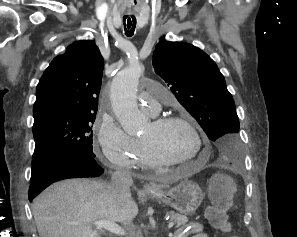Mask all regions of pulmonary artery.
<instances>
[{"label":"pulmonary artery","mask_w":297,"mask_h":237,"mask_svg":"<svg viewBox=\"0 0 297 237\" xmlns=\"http://www.w3.org/2000/svg\"><path fill=\"white\" fill-rule=\"evenodd\" d=\"M166 91L153 85L145 86L140 94V105L150 114H155L161 104H169L171 99L164 96Z\"/></svg>","instance_id":"e3ab8cb5"}]
</instances>
